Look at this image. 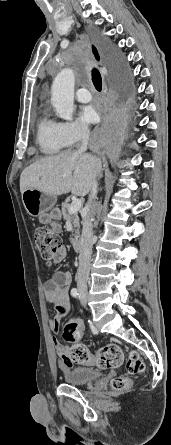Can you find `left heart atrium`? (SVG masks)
Returning <instances> with one entry per match:
<instances>
[{
	"label": "left heart atrium",
	"instance_id": "39dd6f15",
	"mask_svg": "<svg viewBox=\"0 0 171 445\" xmlns=\"http://www.w3.org/2000/svg\"><path fill=\"white\" fill-rule=\"evenodd\" d=\"M82 122L92 124L98 121V113L92 106H85L80 112Z\"/></svg>",
	"mask_w": 171,
	"mask_h": 445
}]
</instances>
